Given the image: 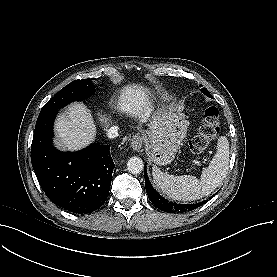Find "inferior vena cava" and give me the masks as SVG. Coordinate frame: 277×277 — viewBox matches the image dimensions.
<instances>
[{
  "label": "inferior vena cava",
  "mask_w": 277,
  "mask_h": 277,
  "mask_svg": "<svg viewBox=\"0 0 277 277\" xmlns=\"http://www.w3.org/2000/svg\"><path fill=\"white\" fill-rule=\"evenodd\" d=\"M107 136L110 139L116 138L118 136V127L117 126L110 127L107 131Z\"/></svg>",
  "instance_id": "1"
}]
</instances>
